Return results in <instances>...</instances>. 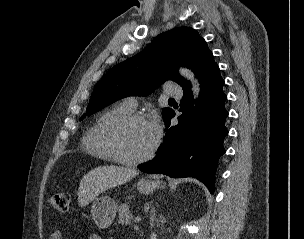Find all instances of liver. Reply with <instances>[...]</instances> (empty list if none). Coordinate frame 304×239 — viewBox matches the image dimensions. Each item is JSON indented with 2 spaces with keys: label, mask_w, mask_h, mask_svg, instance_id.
<instances>
[{
  "label": "liver",
  "mask_w": 304,
  "mask_h": 239,
  "mask_svg": "<svg viewBox=\"0 0 304 239\" xmlns=\"http://www.w3.org/2000/svg\"><path fill=\"white\" fill-rule=\"evenodd\" d=\"M138 175V171L120 166H100L88 172L80 181L78 204L84 207L96 197L118 185H122Z\"/></svg>",
  "instance_id": "obj_1"
}]
</instances>
